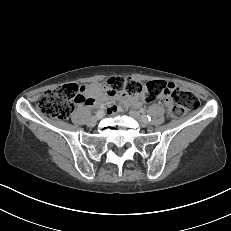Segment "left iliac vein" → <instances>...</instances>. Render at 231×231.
<instances>
[{
    "label": "left iliac vein",
    "instance_id": "left-iliac-vein-1",
    "mask_svg": "<svg viewBox=\"0 0 231 231\" xmlns=\"http://www.w3.org/2000/svg\"><path fill=\"white\" fill-rule=\"evenodd\" d=\"M130 116L136 119L141 127L147 126V121L139 114V112L132 110L130 111Z\"/></svg>",
    "mask_w": 231,
    "mask_h": 231
}]
</instances>
